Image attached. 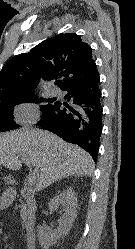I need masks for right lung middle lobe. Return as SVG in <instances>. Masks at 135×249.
<instances>
[{
  "label": "right lung middle lobe",
  "mask_w": 135,
  "mask_h": 249,
  "mask_svg": "<svg viewBox=\"0 0 135 249\" xmlns=\"http://www.w3.org/2000/svg\"><path fill=\"white\" fill-rule=\"evenodd\" d=\"M37 102L38 99L32 94L19 95L14 97H9L0 100V132L13 130L18 127L12 121V110L13 107L22 102ZM48 102H53L51 99L46 100ZM54 105L48 104L42 107V111L45 113L50 110Z\"/></svg>",
  "instance_id": "dd1d6c3e"
}]
</instances>
